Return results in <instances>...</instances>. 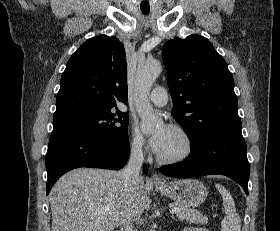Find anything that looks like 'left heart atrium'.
I'll list each match as a JSON object with an SVG mask.
<instances>
[{
	"instance_id": "1",
	"label": "left heart atrium",
	"mask_w": 280,
	"mask_h": 231,
	"mask_svg": "<svg viewBox=\"0 0 280 231\" xmlns=\"http://www.w3.org/2000/svg\"><path fill=\"white\" fill-rule=\"evenodd\" d=\"M171 135V127L165 125L151 136L150 145L155 153L161 154L164 151L170 141Z\"/></svg>"
}]
</instances>
